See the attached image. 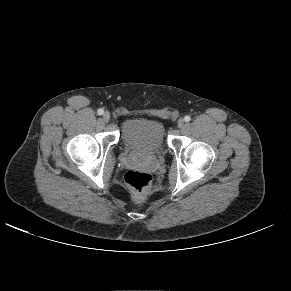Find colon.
Wrapping results in <instances>:
<instances>
[{
  "mask_svg": "<svg viewBox=\"0 0 291 291\" xmlns=\"http://www.w3.org/2000/svg\"><path fill=\"white\" fill-rule=\"evenodd\" d=\"M152 177L145 172L130 170L125 174V182L136 200H142L151 186Z\"/></svg>",
  "mask_w": 291,
  "mask_h": 291,
  "instance_id": "5ec220e1",
  "label": "colon"
}]
</instances>
